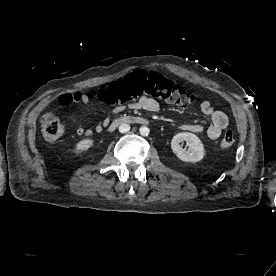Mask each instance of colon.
<instances>
[{
	"instance_id": "colon-1",
	"label": "colon",
	"mask_w": 276,
	"mask_h": 276,
	"mask_svg": "<svg viewBox=\"0 0 276 276\" xmlns=\"http://www.w3.org/2000/svg\"><path fill=\"white\" fill-rule=\"evenodd\" d=\"M98 97L108 104H121L139 97L161 98L180 107H188L197 102L198 97L183 87L155 73L139 70L127 79L116 82L98 92ZM43 137L48 142L58 140L64 133L62 121L53 114H46L41 120ZM235 143L234 135L227 131L220 139L219 146L229 151Z\"/></svg>"
}]
</instances>
